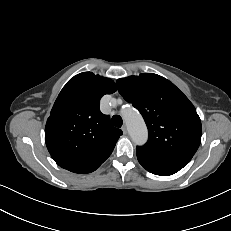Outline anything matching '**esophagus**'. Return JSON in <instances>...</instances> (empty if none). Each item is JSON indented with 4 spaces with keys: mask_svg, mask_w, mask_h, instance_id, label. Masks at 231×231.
Masks as SVG:
<instances>
[{
    "mask_svg": "<svg viewBox=\"0 0 231 231\" xmlns=\"http://www.w3.org/2000/svg\"><path fill=\"white\" fill-rule=\"evenodd\" d=\"M122 131H123V134H127V127H126V125L122 126Z\"/></svg>",
    "mask_w": 231,
    "mask_h": 231,
    "instance_id": "obj_1",
    "label": "esophagus"
}]
</instances>
